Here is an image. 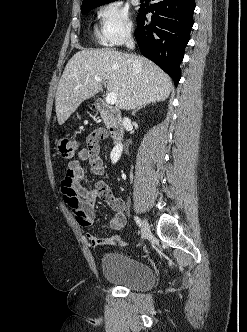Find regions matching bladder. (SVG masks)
Returning a JSON list of instances; mask_svg holds the SVG:
<instances>
[{
  "label": "bladder",
  "mask_w": 247,
  "mask_h": 332,
  "mask_svg": "<svg viewBox=\"0 0 247 332\" xmlns=\"http://www.w3.org/2000/svg\"><path fill=\"white\" fill-rule=\"evenodd\" d=\"M101 270L107 281L135 291L148 290L155 284V274L145 262L118 252L106 253Z\"/></svg>",
  "instance_id": "bladder-1"
}]
</instances>
